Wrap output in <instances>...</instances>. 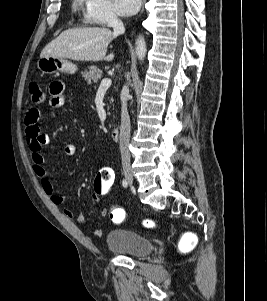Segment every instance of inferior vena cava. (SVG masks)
Returning <instances> with one entry per match:
<instances>
[{
	"label": "inferior vena cava",
	"mask_w": 267,
	"mask_h": 301,
	"mask_svg": "<svg viewBox=\"0 0 267 301\" xmlns=\"http://www.w3.org/2000/svg\"><path fill=\"white\" fill-rule=\"evenodd\" d=\"M114 33L122 34L125 32V27L117 16H114L111 21ZM128 87L124 86L121 92V126H120V152L122 163L130 162V117L127 110Z\"/></svg>",
	"instance_id": "obj_1"
}]
</instances>
